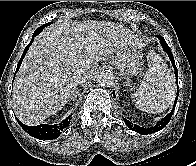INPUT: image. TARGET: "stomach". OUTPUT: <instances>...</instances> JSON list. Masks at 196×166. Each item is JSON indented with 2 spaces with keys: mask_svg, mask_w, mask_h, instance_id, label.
Returning a JSON list of instances; mask_svg holds the SVG:
<instances>
[{
  "mask_svg": "<svg viewBox=\"0 0 196 166\" xmlns=\"http://www.w3.org/2000/svg\"><path fill=\"white\" fill-rule=\"evenodd\" d=\"M142 54L138 48L126 46L117 51L114 65L123 76H134L140 71Z\"/></svg>",
  "mask_w": 196,
  "mask_h": 166,
  "instance_id": "1",
  "label": "stomach"
}]
</instances>
